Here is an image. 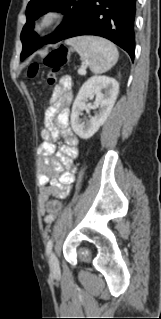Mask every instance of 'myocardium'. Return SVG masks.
I'll return each instance as SVG.
<instances>
[{
	"mask_svg": "<svg viewBox=\"0 0 161 319\" xmlns=\"http://www.w3.org/2000/svg\"><path fill=\"white\" fill-rule=\"evenodd\" d=\"M60 17L61 13L58 10H48L44 12L36 21L34 32L36 34L44 33L50 27H52Z\"/></svg>",
	"mask_w": 161,
	"mask_h": 319,
	"instance_id": "myocardium-1",
	"label": "myocardium"
}]
</instances>
